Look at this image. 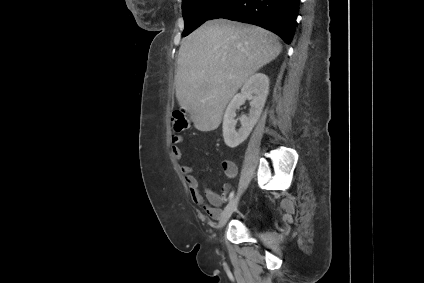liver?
I'll list each match as a JSON object with an SVG mask.
<instances>
[{"label": "liver", "instance_id": "obj_1", "mask_svg": "<svg viewBox=\"0 0 424 283\" xmlns=\"http://www.w3.org/2000/svg\"><path fill=\"white\" fill-rule=\"evenodd\" d=\"M282 51L278 37L262 27L215 19L182 41L175 75L176 98L197 130H215L240 87Z\"/></svg>", "mask_w": 424, "mask_h": 283}]
</instances>
